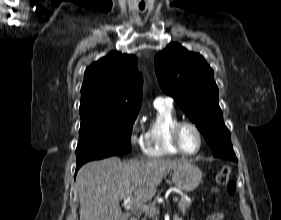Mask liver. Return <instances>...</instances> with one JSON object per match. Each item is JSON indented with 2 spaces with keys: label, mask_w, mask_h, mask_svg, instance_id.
<instances>
[{
  "label": "liver",
  "mask_w": 281,
  "mask_h": 220,
  "mask_svg": "<svg viewBox=\"0 0 281 220\" xmlns=\"http://www.w3.org/2000/svg\"><path fill=\"white\" fill-rule=\"evenodd\" d=\"M189 160L148 159L122 162L117 157L86 163L77 174L80 220H124L120 200L149 201L162 179Z\"/></svg>",
  "instance_id": "6515ba94"
}]
</instances>
